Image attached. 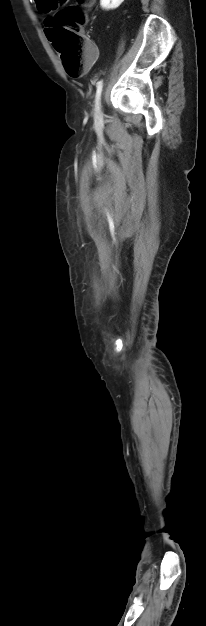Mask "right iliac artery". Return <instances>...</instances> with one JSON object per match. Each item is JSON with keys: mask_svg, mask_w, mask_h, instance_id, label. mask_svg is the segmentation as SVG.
Here are the masks:
<instances>
[{"mask_svg": "<svg viewBox=\"0 0 206 626\" xmlns=\"http://www.w3.org/2000/svg\"><path fill=\"white\" fill-rule=\"evenodd\" d=\"M101 92H102V81H99L97 83V90H96V97H95L96 107L99 104V99H100V96H101Z\"/></svg>", "mask_w": 206, "mask_h": 626, "instance_id": "1", "label": "right iliac artery"}]
</instances>
